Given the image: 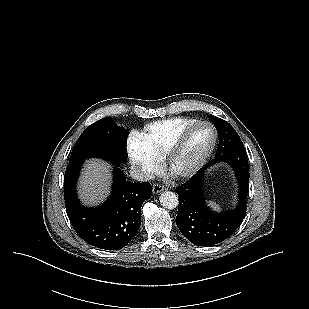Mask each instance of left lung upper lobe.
Instances as JSON below:
<instances>
[{"label":"left lung upper lobe","instance_id":"obj_1","mask_svg":"<svg viewBox=\"0 0 309 309\" xmlns=\"http://www.w3.org/2000/svg\"><path fill=\"white\" fill-rule=\"evenodd\" d=\"M208 117L214 123L217 131H221L216 154H221L230 149L244 147L239 135L228 122L214 115H209Z\"/></svg>","mask_w":309,"mask_h":309}]
</instances>
